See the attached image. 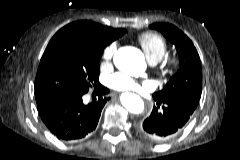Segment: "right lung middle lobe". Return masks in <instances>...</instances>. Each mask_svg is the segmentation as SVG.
<instances>
[{"label":"right lung middle lobe","instance_id":"dd1d6c3e","mask_svg":"<svg viewBox=\"0 0 240 160\" xmlns=\"http://www.w3.org/2000/svg\"><path fill=\"white\" fill-rule=\"evenodd\" d=\"M106 46L88 42L71 30L60 29L41 58L35 79V95L56 91L78 95L98 87L99 60Z\"/></svg>","mask_w":240,"mask_h":160}]
</instances>
